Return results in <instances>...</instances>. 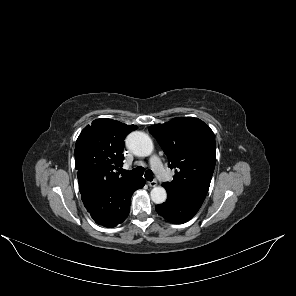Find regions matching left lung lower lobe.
Listing matches in <instances>:
<instances>
[{
    "mask_svg": "<svg viewBox=\"0 0 296 296\" xmlns=\"http://www.w3.org/2000/svg\"><path fill=\"white\" fill-rule=\"evenodd\" d=\"M204 199L179 197L167 194V201L155 207L158 214L172 223L182 224L190 220L199 210Z\"/></svg>",
    "mask_w": 296,
    "mask_h": 296,
    "instance_id": "0a47b994",
    "label": "left lung lower lobe"
}]
</instances>
